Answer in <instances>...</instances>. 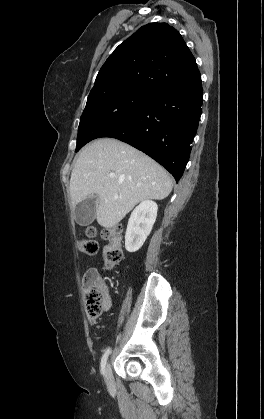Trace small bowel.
<instances>
[{"mask_svg": "<svg viewBox=\"0 0 264 419\" xmlns=\"http://www.w3.org/2000/svg\"><path fill=\"white\" fill-rule=\"evenodd\" d=\"M109 307H110V301L108 299L107 302H106V305H105V309L107 310Z\"/></svg>", "mask_w": 264, "mask_h": 419, "instance_id": "small-bowel-1", "label": "small bowel"}]
</instances>
